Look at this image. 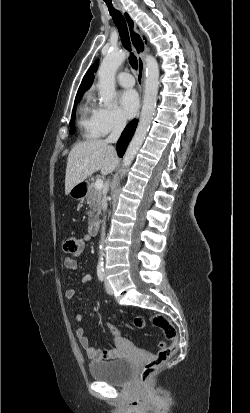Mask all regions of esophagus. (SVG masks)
<instances>
[{
    "label": "esophagus",
    "mask_w": 250,
    "mask_h": 413,
    "mask_svg": "<svg viewBox=\"0 0 250 413\" xmlns=\"http://www.w3.org/2000/svg\"><path fill=\"white\" fill-rule=\"evenodd\" d=\"M121 13L126 21L132 46L135 50L137 61H138V86L141 94L143 95L144 91V82H145V62H144V53L147 49L146 44L137 29L136 22L130 13L122 6H120Z\"/></svg>",
    "instance_id": "obj_1"
}]
</instances>
